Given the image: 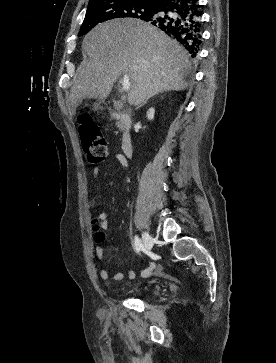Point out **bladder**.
Instances as JSON below:
<instances>
[{
    "label": "bladder",
    "mask_w": 276,
    "mask_h": 363,
    "mask_svg": "<svg viewBox=\"0 0 276 363\" xmlns=\"http://www.w3.org/2000/svg\"><path fill=\"white\" fill-rule=\"evenodd\" d=\"M154 294H157V290H154V292H153Z\"/></svg>",
    "instance_id": "1"
}]
</instances>
